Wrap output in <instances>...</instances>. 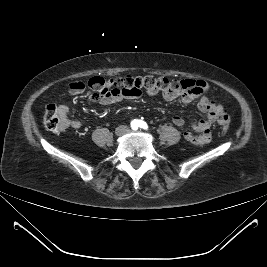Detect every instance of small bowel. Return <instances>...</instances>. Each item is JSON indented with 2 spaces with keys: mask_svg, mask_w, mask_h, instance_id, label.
<instances>
[{
  "mask_svg": "<svg viewBox=\"0 0 267 267\" xmlns=\"http://www.w3.org/2000/svg\"><path fill=\"white\" fill-rule=\"evenodd\" d=\"M182 82L185 85L182 90L163 93V98L167 101L179 98L180 102L184 105L189 104L194 100L198 101V109L207 114V117L200 119L198 122L191 125L192 130L198 134L185 132L184 137L187 141L194 144H208L211 141V126L216 121L217 115L223 111V107L222 105L215 103L206 95L208 84L205 81L187 79ZM86 87L93 91L91 99L102 105L119 103L125 97L132 98L116 89L112 80L106 81L101 77H93L86 84L82 82L72 83L69 86V92L71 94H78ZM57 113L63 121L64 128L79 129L81 127V122L78 119H71L68 117V107L65 104H59L57 106ZM172 122L178 127L185 124L184 118L179 115L173 116Z\"/></svg>",
  "mask_w": 267,
  "mask_h": 267,
  "instance_id": "obj_1",
  "label": "small bowel"
}]
</instances>
